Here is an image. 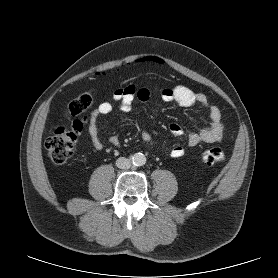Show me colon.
<instances>
[{"mask_svg":"<svg viewBox=\"0 0 278 278\" xmlns=\"http://www.w3.org/2000/svg\"><path fill=\"white\" fill-rule=\"evenodd\" d=\"M92 105V93H84L75 98L70 102L65 113L69 123L58 127L46 139L45 149L54 164L62 165L73 155L75 144L83 130V116ZM224 159V151L219 147L208 148L202 153V160L208 165L220 163Z\"/></svg>","mask_w":278,"mask_h":278,"instance_id":"colon-1","label":"colon"}]
</instances>
